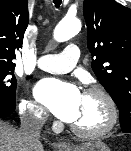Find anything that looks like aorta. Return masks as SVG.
Here are the masks:
<instances>
[{
    "label": "aorta",
    "mask_w": 131,
    "mask_h": 151,
    "mask_svg": "<svg viewBox=\"0 0 131 151\" xmlns=\"http://www.w3.org/2000/svg\"><path fill=\"white\" fill-rule=\"evenodd\" d=\"M81 29V22L77 18H64L54 30V39L64 42L75 36Z\"/></svg>",
    "instance_id": "aorta-1"
}]
</instances>
